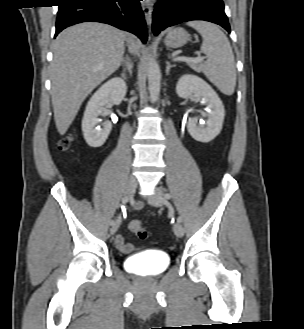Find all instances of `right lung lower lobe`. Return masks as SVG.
Wrapping results in <instances>:
<instances>
[{"mask_svg":"<svg viewBox=\"0 0 304 329\" xmlns=\"http://www.w3.org/2000/svg\"><path fill=\"white\" fill-rule=\"evenodd\" d=\"M141 0H61L55 36L64 28L81 22H102L147 40Z\"/></svg>","mask_w":304,"mask_h":329,"instance_id":"98d812e1","label":"right lung lower lobe"}]
</instances>
